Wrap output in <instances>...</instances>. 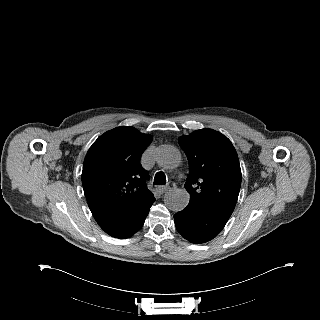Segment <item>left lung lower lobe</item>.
Here are the masks:
<instances>
[{
    "label": "left lung lower lobe",
    "mask_w": 320,
    "mask_h": 320,
    "mask_svg": "<svg viewBox=\"0 0 320 320\" xmlns=\"http://www.w3.org/2000/svg\"><path fill=\"white\" fill-rule=\"evenodd\" d=\"M230 214L203 202L190 199L188 205L174 215L177 231L192 243H205L224 228Z\"/></svg>",
    "instance_id": "obj_1"
}]
</instances>
